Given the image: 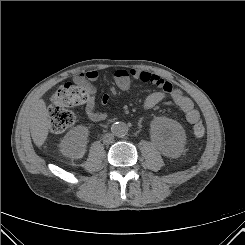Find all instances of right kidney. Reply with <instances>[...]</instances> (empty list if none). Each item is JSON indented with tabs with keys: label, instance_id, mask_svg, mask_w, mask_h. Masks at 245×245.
<instances>
[{
	"label": "right kidney",
	"instance_id": "obj_1",
	"mask_svg": "<svg viewBox=\"0 0 245 245\" xmlns=\"http://www.w3.org/2000/svg\"><path fill=\"white\" fill-rule=\"evenodd\" d=\"M88 134V128L85 126L72 128L60 143L61 153L67 157L81 158L85 153Z\"/></svg>",
	"mask_w": 245,
	"mask_h": 245
}]
</instances>
